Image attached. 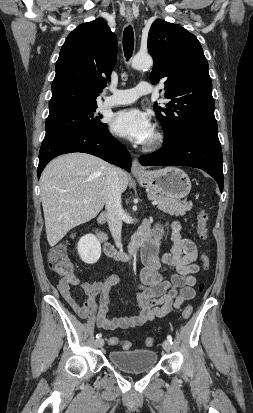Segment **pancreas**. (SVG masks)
<instances>
[{
  "label": "pancreas",
  "instance_id": "obj_1",
  "mask_svg": "<svg viewBox=\"0 0 253 413\" xmlns=\"http://www.w3.org/2000/svg\"><path fill=\"white\" fill-rule=\"evenodd\" d=\"M148 198L158 202V209L176 216H183L187 211L192 209V203L186 201H178L164 195H159L154 191L148 193Z\"/></svg>",
  "mask_w": 253,
  "mask_h": 413
}]
</instances>
